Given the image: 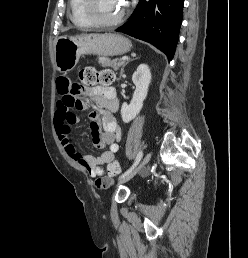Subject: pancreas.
<instances>
[{
    "mask_svg": "<svg viewBox=\"0 0 248 258\" xmlns=\"http://www.w3.org/2000/svg\"><path fill=\"white\" fill-rule=\"evenodd\" d=\"M98 62L102 67H111L115 71H117L119 68L123 67L126 64L125 61H123L119 58H116V59H113V60L99 58Z\"/></svg>",
    "mask_w": 248,
    "mask_h": 258,
    "instance_id": "pancreas-1",
    "label": "pancreas"
}]
</instances>
